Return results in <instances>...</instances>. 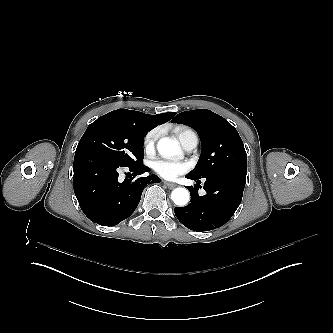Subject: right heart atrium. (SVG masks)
<instances>
[{"mask_svg":"<svg viewBox=\"0 0 333 333\" xmlns=\"http://www.w3.org/2000/svg\"><path fill=\"white\" fill-rule=\"evenodd\" d=\"M157 136L155 133H149L144 139V148L146 152L154 151Z\"/></svg>","mask_w":333,"mask_h":333,"instance_id":"1","label":"right heart atrium"}]
</instances>
